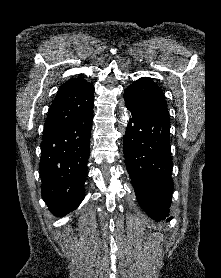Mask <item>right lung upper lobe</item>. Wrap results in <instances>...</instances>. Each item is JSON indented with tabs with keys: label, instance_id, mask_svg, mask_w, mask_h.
<instances>
[{
	"label": "right lung upper lobe",
	"instance_id": "right-lung-upper-lobe-1",
	"mask_svg": "<svg viewBox=\"0 0 221 278\" xmlns=\"http://www.w3.org/2000/svg\"><path fill=\"white\" fill-rule=\"evenodd\" d=\"M94 106V87L73 78L58 90L45 121L43 139L84 116Z\"/></svg>",
	"mask_w": 221,
	"mask_h": 278
}]
</instances>
